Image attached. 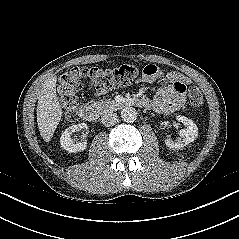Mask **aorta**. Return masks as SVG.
<instances>
[{"label": "aorta", "mask_w": 239, "mask_h": 239, "mask_svg": "<svg viewBox=\"0 0 239 239\" xmlns=\"http://www.w3.org/2000/svg\"><path fill=\"white\" fill-rule=\"evenodd\" d=\"M121 118L124 122L133 123L137 119V111L133 107H126L121 111Z\"/></svg>", "instance_id": "1"}]
</instances>
